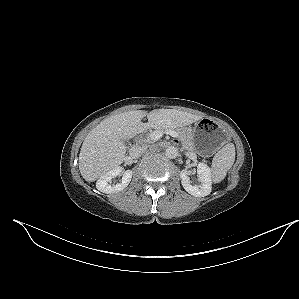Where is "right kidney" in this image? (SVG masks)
<instances>
[{
	"label": "right kidney",
	"instance_id": "ca27d5eb",
	"mask_svg": "<svg viewBox=\"0 0 299 299\" xmlns=\"http://www.w3.org/2000/svg\"><path fill=\"white\" fill-rule=\"evenodd\" d=\"M116 176H122L121 182L117 183L116 185L109 184ZM131 178V170L124 171L121 167H116L98 179L96 188L106 194L116 193L127 187L131 181Z\"/></svg>",
	"mask_w": 299,
	"mask_h": 299
}]
</instances>
